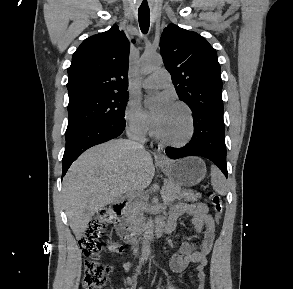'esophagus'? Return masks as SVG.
<instances>
[{"label":"esophagus","mask_w":293,"mask_h":289,"mask_svg":"<svg viewBox=\"0 0 293 289\" xmlns=\"http://www.w3.org/2000/svg\"><path fill=\"white\" fill-rule=\"evenodd\" d=\"M155 151V159L158 161H167L165 156L162 154V148L160 146H155L154 147Z\"/></svg>","instance_id":"obj_1"}]
</instances>
